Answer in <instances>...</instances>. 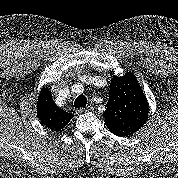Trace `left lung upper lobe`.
<instances>
[{
  "mask_svg": "<svg viewBox=\"0 0 178 178\" xmlns=\"http://www.w3.org/2000/svg\"><path fill=\"white\" fill-rule=\"evenodd\" d=\"M148 112V102L136 77L130 72L114 76L104 112L106 126L133 134L146 123Z\"/></svg>",
  "mask_w": 178,
  "mask_h": 178,
  "instance_id": "left-lung-upper-lobe-1",
  "label": "left lung upper lobe"
}]
</instances>
